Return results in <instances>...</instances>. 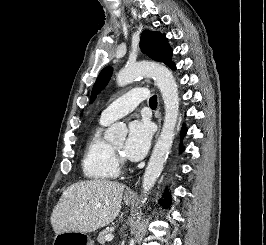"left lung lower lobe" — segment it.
<instances>
[{
  "label": "left lung lower lobe",
  "instance_id": "obj_1",
  "mask_svg": "<svg viewBox=\"0 0 266 245\" xmlns=\"http://www.w3.org/2000/svg\"><path fill=\"white\" fill-rule=\"evenodd\" d=\"M171 68H172V69H175V65L173 64V65L171 66ZM186 132H187V130H186V128L183 126V127H182V130H181V137H183V136L186 134ZM180 151H182V149H180ZM160 202H162V205H163V206L169 207L170 196H169V195H166V196L164 197V200H163V201H160Z\"/></svg>",
  "mask_w": 266,
  "mask_h": 245
}]
</instances>
